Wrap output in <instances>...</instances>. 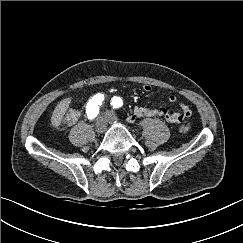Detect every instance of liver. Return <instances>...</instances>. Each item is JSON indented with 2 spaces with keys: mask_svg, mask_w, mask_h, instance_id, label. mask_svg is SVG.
I'll return each instance as SVG.
<instances>
[{
  "mask_svg": "<svg viewBox=\"0 0 243 243\" xmlns=\"http://www.w3.org/2000/svg\"><path fill=\"white\" fill-rule=\"evenodd\" d=\"M70 103L71 98L68 97L57 104L51 117L52 126L58 127L61 124L63 116L66 113Z\"/></svg>",
  "mask_w": 243,
  "mask_h": 243,
  "instance_id": "obj_1",
  "label": "liver"
}]
</instances>
